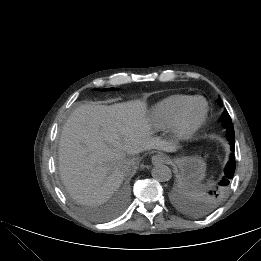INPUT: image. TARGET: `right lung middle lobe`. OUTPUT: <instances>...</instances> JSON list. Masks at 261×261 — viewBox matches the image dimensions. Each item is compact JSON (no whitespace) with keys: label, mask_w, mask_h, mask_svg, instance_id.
Wrapping results in <instances>:
<instances>
[{"label":"right lung middle lobe","mask_w":261,"mask_h":261,"mask_svg":"<svg viewBox=\"0 0 261 261\" xmlns=\"http://www.w3.org/2000/svg\"><path fill=\"white\" fill-rule=\"evenodd\" d=\"M114 88H109V89H99V90H102V91H107V90H113ZM98 90V89H97Z\"/></svg>","instance_id":"1"}]
</instances>
